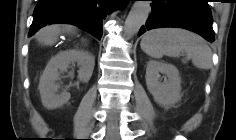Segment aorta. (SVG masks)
Returning <instances> with one entry per match:
<instances>
[{"instance_id":"aorta-1","label":"aorta","mask_w":236,"mask_h":140,"mask_svg":"<svg viewBox=\"0 0 236 140\" xmlns=\"http://www.w3.org/2000/svg\"><path fill=\"white\" fill-rule=\"evenodd\" d=\"M150 12L149 1H135L125 21V35L132 37L146 22Z\"/></svg>"}]
</instances>
